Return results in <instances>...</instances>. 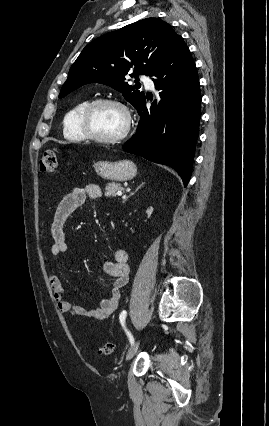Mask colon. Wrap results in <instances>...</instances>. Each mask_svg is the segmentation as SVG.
Returning a JSON list of instances; mask_svg holds the SVG:
<instances>
[{"instance_id": "5ec220e1", "label": "colon", "mask_w": 269, "mask_h": 426, "mask_svg": "<svg viewBox=\"0 0 269 426\" xmlns=\"http://www.w3.org/2000/svg\"><path fill=\"white\" fill-rule=\"evenodd\" d=\"M57 151L54 149L46 150L42 153L39 161L40 170L44 173H53L57 169ZM114 350L112 342H105L102 344L98 352L101 355H109Z\"/></svg>"}]
</instances>
